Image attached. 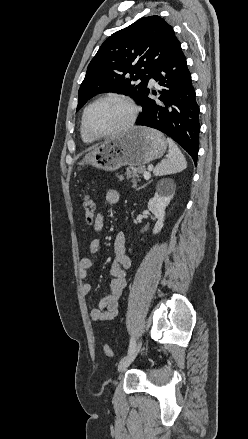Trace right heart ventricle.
Wrapping results in <instances>:
<instances>
[{
  "label": "right heart ventricle",
  "mask_w": 248,
  "mask_h": 439,
  "mask_svg": "<svg viewBox=\"0 0 248 439\" xmlns=\"http://www.w3.org/2000/svg\"><path fill=\"white\" fill-rule=\"evenodd\" d=\"M81 137H82V140L85 142V143H92L95 139H92V138H90L89 136H87L84 132H83V130H82V128H81Z\"/></svg>",
  "instance_id": "e07e8e85"
}]
</instances>
